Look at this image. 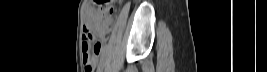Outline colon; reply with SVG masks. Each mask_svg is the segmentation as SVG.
Returning <instances> with one entry per match:
<instances>
[{"instance_id": "5ec220e1", "label": "colon", "mask_w": 267, "mask_h": 72, "mask_svg": "<svg viewBox=\"0 0 267 72\" xmlns=\"http://www.w3.org/2000/svg\"><path fill=\"white\" fill-rule=\"evenodd\" d=\"M116 0H95L94 3L101 14V26L108 23L114 13V5ZM86 43L83 48V65L85 67H95L97 64V56L100 50V43L92 44L90 37L86 38Z\"/></svg>"}]
</instances>
